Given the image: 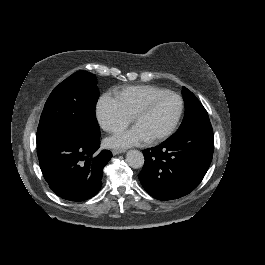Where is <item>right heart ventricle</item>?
I'll return each instance as SVG.
<instances>
[{"mask_svg":"<svg viewBox=\"0 0 265 265\" xmlns=\"http://www.w3.org/2000/svg\"><path fill=\"white\" fill-rule=\"evenodd\" d=\"M159 90L156 86L135 85L128 86L116 93V98L120 102L127 115L133 116L140 104L153 92Z\"/></svg>","mask_w":265,"mask_h":265,"instance_id":"obj_1","label":"right heart ventricle"}]
</instances>
